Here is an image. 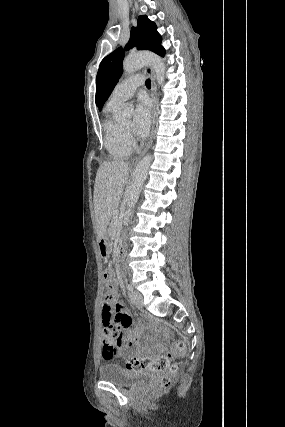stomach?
Here are the masks:
<instances>
[{
  "mask_svg": "<svg viewBox=\"0 0 285 427\" xmlns=\"http://www.w3.org/2000/svg\"><path fill=\"white\" fill-rule=\"evenodd\" d=\"M98 249L103 257H108L111 252V244L109 241V236L107 234H104L102 237H100L98 241Z\"/></svg>",
  "mask_w": 285,
  "mask_h": 427,
  "instance_id": "obj_1",
  "label": "stomach"
}]
</instances>
